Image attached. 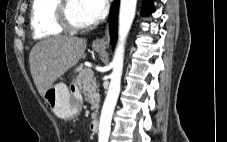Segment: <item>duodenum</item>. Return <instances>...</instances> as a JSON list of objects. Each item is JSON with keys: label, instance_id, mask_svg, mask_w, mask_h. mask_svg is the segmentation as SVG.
I'll list each match as a JSON object with an SVG mask.
<instances>
[{"label": "duodenum", "instance_id": "1", "mask_svg": "<svg viewBox=\"0 0 227 142\" xmlns=\"http://www.w3.org/2000/svg\"><path fill=\"white\" fill-rule=\"evenodd\" d=\"M98 129H99V119L98 118H94L91 121L90 130H91L92 133H97Z\"/></svg>", "mask_w": 227, "mask_h": 142}]
</instances>
